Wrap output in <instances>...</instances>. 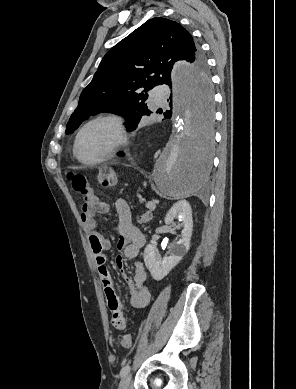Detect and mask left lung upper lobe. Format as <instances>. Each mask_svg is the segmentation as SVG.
<instances>
[{"instance_id":"left-lung-upper-lobe-1","label":"left lung upper lobe","mask_w":296,"mask_h":389,"mask_svg":"<svg viewBox=\"0 0 296 389\" xmlns=\"http://www.w3.org/2000/svg\"><path fill=\"white\" fill-rule=\"evenodd\" d=\"M178 60L190 63L193 87L197 82L201 89L210 88L206 60L190 33L175 21L149 19L103 57L92 81L82 91L65 133H72L99 112L125 116L128 131L136 129L141 117L151 114L145 103L148 91L171 82V71ZM197 100L205 126L212 114H206ZM207 135L210 139L208 131Z\"/></svg>"}]
</instances>
